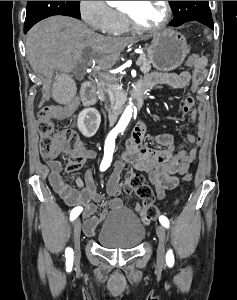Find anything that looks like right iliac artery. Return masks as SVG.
Returning <instances> with one entry per match:
<instances>
[{"label":"right iliac artery","instance_id":"obj_1","mask_svg":"<svg viewBox=\"0 0 237 300\" xmlns=\"http://www.w3.org/2000/svg\"><path fill=\"white\" fill-rule=\"evenodd\" d=\"M119 131L113 130L111 131L106 140H105V146H104V157L100 165V170L105 171L112 162V156L115 148V138ZM83 208L78 206L72 209L70 213V220H75L78 215L82 212ZM65 257L69 259L70 262L73 263V250L71 248H66L65 250Z\"/></svg>","mask_w":237,"mask_h":300}]
</instances>
